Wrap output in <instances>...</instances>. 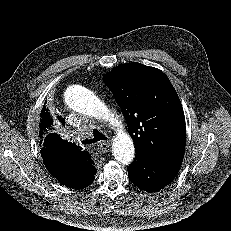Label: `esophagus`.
<instances>
[{
  "instance_id": "34e87169",
  "label": "esophagus",
  "mask_w": 231,
  "mask_h": 231,
  "mask_svg": "<svg viewBox=\"0 0 231 231\" xmlns=\"http://www.w3.org/2000/svg\"><path fill=\"white\" fill-rule=\"evenodd\" d=\"M110 146H111V144L109 141L99 142L97 145V150L99 153H106L109 151Z\"/></svg>"
}]
</instances>
